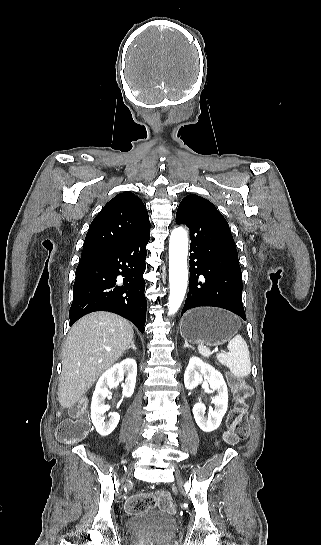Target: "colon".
<instances>
[{
  "label": "colon",
  "instance_id": "colon-1",
  "mask_svg": "<svg viewBox=\"0 0 321 545\" xmlns=\"http://www.w3.org/2000/svg\"><path fill=\"white\" fill-rule=\"evenodd\" d=\"M230 383L235 396V408L228 420V432L225 441L236 444L249 435V418L245 409V400L250 396L249 386L242 380L231 377ZM72 417L64 421L57 430L58 439L66 444L81 442L88 433L89 420L85 404L81 403L71 410ZM159 506L162 510L173 513L174 506L167 494L140 493L131 496L125 503V509L129 513H137Z\"/></svg>",
  "mask_w": 321,
  "mask_h": 545
}]
</instances>
